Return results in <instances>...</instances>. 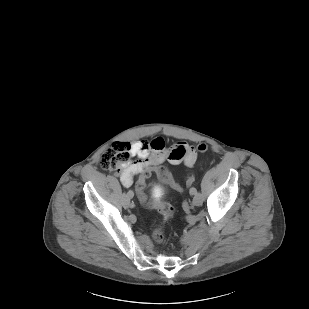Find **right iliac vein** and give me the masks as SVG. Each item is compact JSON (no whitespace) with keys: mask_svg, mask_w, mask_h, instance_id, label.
<instances>
[{"mask_svg":"<svg viewBox=\"0 0 309 309\" xmlns=\"http://www.w3.org/2000/svg\"><path fill=\"white\" fill-rule=\"evenodd\" d=\"M133 196V195H132ZM132 197H127V195H126V197H125V204L127 205V206H129V205H131V203H130V199H131Z\"/></svg>","mask_w":309,"mask_h":309,"instance_id":"1","label":"right iliac vein"}]
</instances>
